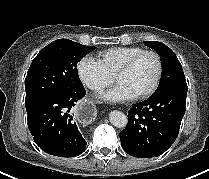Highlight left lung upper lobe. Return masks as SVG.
<instances>
[{
  "mask_svg": "<svg viewBox=\"0 0 209 179\" xmlns=\"http://www.w3.org/2000/svg\"><path fill=\"white\" fill-rule=\"evenodd\" d=\"M145 45L154 49L160 55L162 63L161 81L153 95L177 86H187L182 66L175 53L169 47L157 41H146Z\"/></svg>",
  "mask_w": 209,
  "mask_h": 179,
  "instance_id": "obj_1",
  "label": "left lung upper lobe"
}]
</instances>
